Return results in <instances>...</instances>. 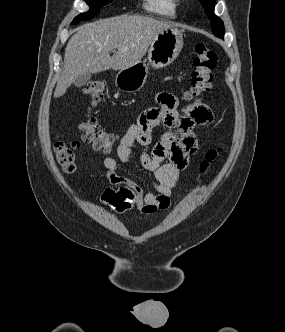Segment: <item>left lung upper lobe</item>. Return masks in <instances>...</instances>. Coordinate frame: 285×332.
Here are the masks:
<instances>
[{
  "mask_svg": "<svg viewBox=\"0 0 285 332\" xmlns=\"http://www.w3.org/2000/svg\"><path fill=\"white\" fill-rule=\"evenodd\" d=\"M205 9V13L210 19L212 32L215 36L224 37L225 29L223 21L214 14L215 0H199Z\"/></svg>",
  "mask_w": 285,
  "mask_h": 332,
  "instance_id": "left-lung-upper-lobe-1",
  "label": "left lung upper lobe"
}]
</instances>
